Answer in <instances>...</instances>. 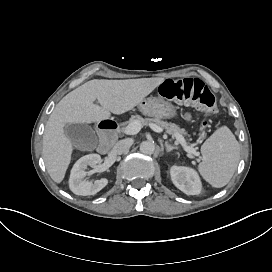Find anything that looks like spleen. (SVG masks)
<instances>
[{
  "instance_id": "1",
  "label": "spleen",
  "mask_w": 272,
  "mask_h": 272,
  "mask_svg": "<svg viewBox=\"0 0 272 272\" xmlns=\"http://www.w3.org/2000/svg\"><path fill=\"white\" fill-rule=\"evenodd\" d=\"M201 153V176L215 188L227 185L240 159V146L231 130L227 126L218 128L203 143Z\"/></svg>"
}]
</instances>
